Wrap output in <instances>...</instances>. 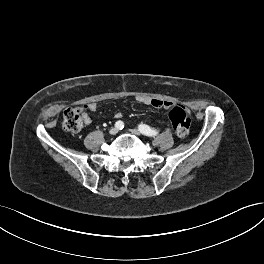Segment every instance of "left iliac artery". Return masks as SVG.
<instances>
[{"label":"left iliac artery","instance_id":"1","mask_svg":"<svg viewBox=\"0 0 264 264\" xmlns=\"http://www.w3.org/2000/svg\"><path fill=\"white\" fill-rule=\"evenodd\" d=\"M139 130L141 131L142 134L145 135V133L149 132L151 133V135L155 134L157 135L158 134V131L157 130H154L152 128H150L148 125H145V124H140L139 125Z\"/></svg>","mask_w":264,"mask_h":264}]
</instances>
